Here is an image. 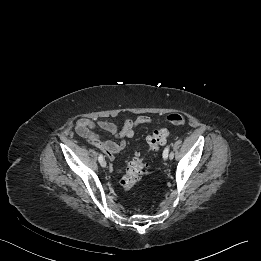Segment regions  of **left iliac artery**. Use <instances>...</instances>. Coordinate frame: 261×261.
I'll list each match as a JSON object with an SVG mask.
<instances>
[{
	"label": "left iliac artery",
	"mask_w": 261,
	"mask_h": 261,
	"mask_svg": "<svg viewBox=\"0 0 261 261\" xmlns=\"http://www.w3.org/2000/svg\"><path fill=\"white\" fill-rule=\"evenodd\" d=\"M169 148H170V146H166V148H165L164 151H163V158H164V159H166V158L168 157ZM173 157H174V154L171 155V153H170V158L173 159Z\"/></svg>",
	"instance_id": "44dca946"
}]
</instances>
